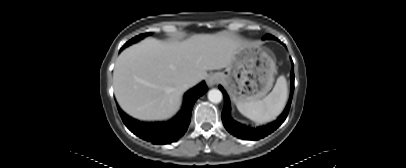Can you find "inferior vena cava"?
Here are the masks:
<instances>
[{
    "instance_id": "602c4592",
    "label": "inferior vena cava",
    "mask_w": 406,
    "mask_h": 168,
    "mask_svg": "<svg viewBox=\"0 0 406 168\" xmlns=\"http://www.w3.org/2000/svg\"><path fill=\"white\" fill-rule=\"evenodd\" d=\"M196 82V78H188L186 81V85L187 86H191L192 84H194Z\"/></svg>"
}]
</instances>
